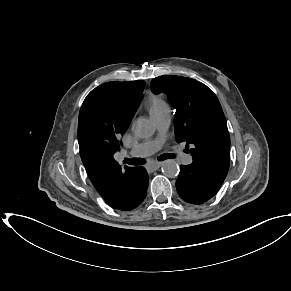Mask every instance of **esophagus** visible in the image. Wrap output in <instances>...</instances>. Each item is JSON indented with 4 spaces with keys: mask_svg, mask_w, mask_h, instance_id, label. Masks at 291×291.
<instances>
[{
    "mask_svg": "<svg viewBox=\"0 0 291 291\" xmlns=\"http://www.w3.org/2000/svg\"><path fill=\"white\" fill-rule=\"evenodd\" d=\"M162 165V162H153L147 166L148 169L156 170Z\"/></svg>",
    "mask_w": 291,
    "mask_h": 291,
    "instance_id": "esophagus-1",
    "label": "esophagus"
}]
</instances>
